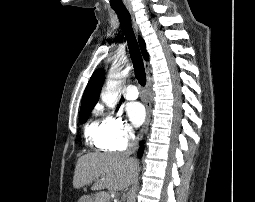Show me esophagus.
I'll return each mask as SVG.
<instances>
[{"label": "esophagus", "instance_id": "esophagus-1", "mask_svg": "<svg viewBox=\"0 0 255 202\" xmlns=\"http://www.w3.org/2000/svg\"><path fill=\"white\" fill-rule=\"evenodd\" d=\"M128 10H129V13L131 15V20H132L133 26H134L135 30L138 31V26H137V23H136V20H135V17H134V13H133L132 9H128ZM144 66H145L146 71L149 73V64H148V62L145 61ZM147 87L149 89V87H150L149 82H148ZM150 120H151V101H150V98H149L147 103H146V120H145V123H144V125L142 126V128L139 132V135H138L139 140L142 139L144 134H146V132L148 131Z\"/></svg>", "mask_w": 255, "mask_h": 202}]
</instances>
